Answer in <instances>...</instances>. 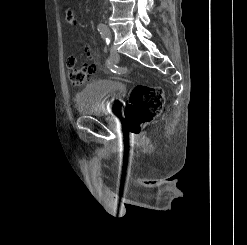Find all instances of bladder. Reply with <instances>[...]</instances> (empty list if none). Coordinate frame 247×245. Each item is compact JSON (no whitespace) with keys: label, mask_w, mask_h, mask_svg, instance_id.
<instances>
[{"label":"bladder","mask_w":247,"mask_h":245,"mask_svg":"<svg viewBox=\"0 0 247 245\" xmlns=\"http://www.w3.org/2000/svg\"><path fill=\"white\" fill-rule=\"evenodd\" d=\"M127 91L126 85L114 79H94L76 95L77 111L85 116L115 113Z\"/></svg>","instance_id":"31cf9c89"}]
</instances>
